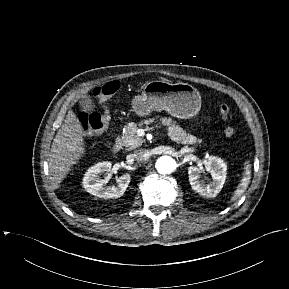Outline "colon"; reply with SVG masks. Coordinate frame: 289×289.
I'll return each mask as SVG.
<instances>
[{
    "instance_id": "obj_1",
    "label": "colon",
    "mask_w": 289,
    "mask_h": 289,
    "mask_svg": "<svg viewBox=\"0 0 289 289\" xmlns=\"http://www.w3.org/2000/svg\"><path fill=\"white\" fill-rule=\"evenodd\" d=\"M120 88V83L117 80H112L102 85L97 86L94 89V95L101 101H106L111 98ZM220 115L227 119L231 110L227 104H221L219 106ZM78 121L86 132L99 133L107 128L110 115L106 108H104L102 113H85L82 112L78 115ZM227 137H233L235 135V129L231 126H227L224 130Z\"/></svg>"
}]
</instances>
